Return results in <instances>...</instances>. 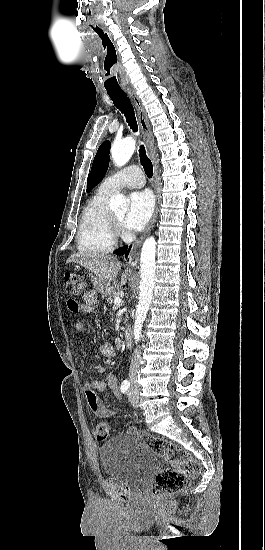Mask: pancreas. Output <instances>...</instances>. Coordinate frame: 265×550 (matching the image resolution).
<instances>
[{
  "instance_id": "cf45deb5",
  "label": "pancreas",
  "mask_w": 265,
  "mask_h": 550,
  "mask_svg": "<svg viewBox=\"0 0 265 550\" xmlns=\"http://www.w3.org/2000/svg\"><path fill=\"white\" fill-rule=\"evenodd\" d=\"M121 290V286L114 282L112 286H109L104 291V297L106 298V301L110 304L113 302V298L116 296H119Z\"/></svg>"
}]
</instances>
